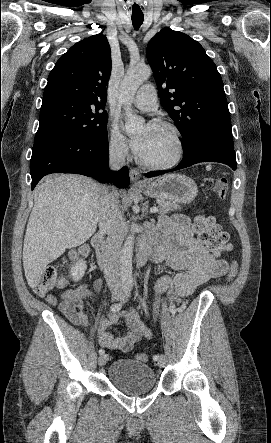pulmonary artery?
Returning <instances> with one entry per match:
<instances>
[{"mask_svg": "<svg viewBox=\"0 0 271 443\" xmlns=\"http://www.w3.org/2000/svg\"><path fill=\"white\" fill-rule=\"evenodd\" d=\"M134 105L142 110H154L158 106L157 95L152 85L142 86L133 97Z\"/></svg>", "mask_w": 271, "mask_h": 443, "instance_id": "pulmonary-artery-1", "label": "pulmonary artery"}]
</instances>
